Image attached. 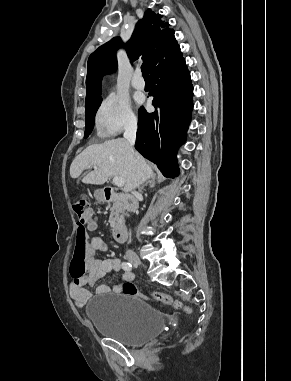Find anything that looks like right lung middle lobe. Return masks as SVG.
I'll list each match as a JSON object with an SVG mask.
<instances>
[{"instance_id":"obj_1","label":"right lung middle lobe","mask_w":291,"mask_h":381,"mask_svg":"<svg viewBox=\"0 0 291 381\" xmlns=\"http://www.w3.org/2000/svg\"><path fill=\"white\" fill-rule=\"evenodd\" d=\"M101 101H102V98L100 97V98L86 104V111H85L86 127H85V135H84L85 138H87L89 136V134L91 133V131L93 129L95 113H96L98 107L100 106Z\"/></svg>"}]
</instances>
